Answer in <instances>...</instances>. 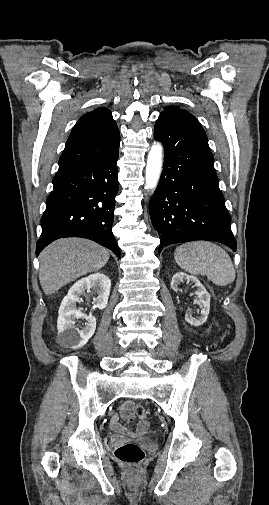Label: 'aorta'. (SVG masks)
I'll list each match as a JSON object with an SVG mask.
<instances>
[{"label": "aorta", "mask_w": 269, "mask_h": 505, "mask_svg": "<svg viewBox=\"0 0 269 505\" xmlns=\"http://www.w3.org/2000/svg\"><path fill=\"white\" fill-rule=\"evenodd\" d=\"M163 166V149L161 143L157 142L151 146L147 157L146 173H145V189L155 190Z\"/></svg>", "instance_id": "aorta-1"}]
</instances>
